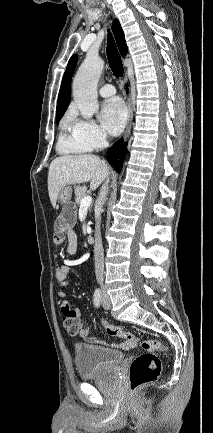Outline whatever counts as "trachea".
<instances>
[{"instance_id":"3493384b","label":"trachea","mask_w":213,"mask_h":433,"mask_svg":"<svg viewBox=\"0 0 213 433\" xmlns=\"http://www.w3.org/2000/svg\"><path fill=\"white\" fill-rule=\"evenodd\" d=\"M106 52H107L108 63L111 70L113 71L114 76L115 77L122 76L124 69H123L121 56L118 52L117 46L115 44V41L111 33H108Z\"/></svg>"}]
</instances>
